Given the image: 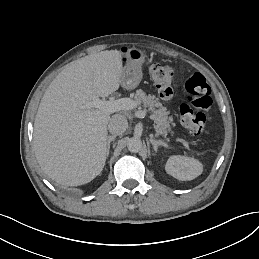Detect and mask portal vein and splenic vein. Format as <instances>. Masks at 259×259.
Instances as JSON below:
<instances>
[{
  "mask_svg": "<svg viewBox=\"0 0 259 259\" xmlns=\"http://www.w3.org/2000/svg\"><path fill=\"white\" fill-rule=\"evenodd\" d=\"M135 107L134 101L130 98H121L118 100H101L97 95H93L92 101L86 104L80 105V110H89L90 108H96L104 111L105 113H115L121 110H130ZM136 117L143 118L144 115L135 113Z\"/></svg>",
  "mask_w": 259,
  "mask_h": 259,
  "instance_id": "18ae733b",
  "label": "portal vein and splenic vein"
}]
</instances>
